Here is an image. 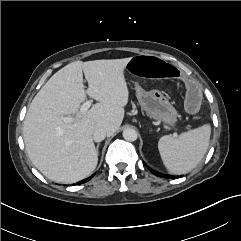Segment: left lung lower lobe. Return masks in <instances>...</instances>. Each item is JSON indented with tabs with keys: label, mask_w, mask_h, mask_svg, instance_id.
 Instances as JSON below:
<instances>
[{
	"label": "left lung lower lobe",
	"mask_w": 241,
	"mask_h": 241,
	"mask_svg": "<svg viewBox=\"0 0 241 241\" xmlns=\"http://www.w3.org/2000/svg\"><path fill=\"white\" fill-rule=\"evenodd\" d=\"M154 175L159 176V177H164V178H177L176 176H168V175H163V174H159L158 172H155L151 169H149Z\"/></svg>",
	"instance_id": "0a47b994"
}]
</instances>
